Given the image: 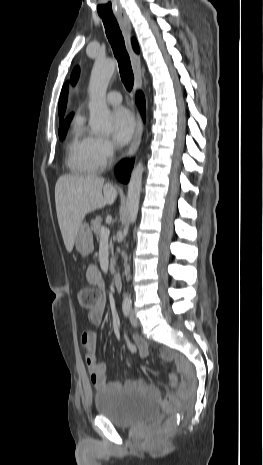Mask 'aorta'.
<instances>
[{
    "label": "aorta",
    "mask_w": 263,
    "mask_h": 465,
    "mask_svg": "<svg viewBox=\"0 0 263 465\" xmlns=\"http://www.w3.org/2000/svg\"><path fill=\"white\" fill-rule=\"evenodd\" d=\"M115 68L116 62L113 59L96 61L93 66L89 82V125L93 133L108 134L111 131L106 91ZM143 170V164L139 162L134 167L128 184L126 202L131 223H135L139 211Z\"/></svg>",
    "instance_id": "obj_1"
}]
</instances>
